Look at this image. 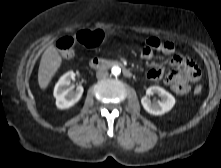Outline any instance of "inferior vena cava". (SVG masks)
<instances>
[{
  "label": "inferior vena cava",
  "instance_id": "obj_1",
  "mask_svg": "<svg viewBox=\"0 0 221 168\" xmlns=\"http://www.w3.org/2000/svg\"><path fill=\"white\" fill-rule=\"evenodd\" d=\"M96 77L98 79H104L108 77V71L106 69H100L96 72Z\"/></svg>",
  "mask_w": 221,
  "mask_h": 168
}]
</instances>
